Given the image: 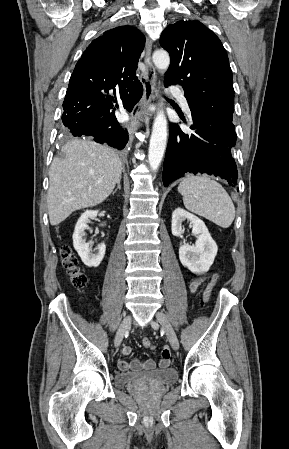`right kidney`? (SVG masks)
<instances>
[{"label":"right kidney","instance_id":"1","mask_svg":"<svg viewBox=\"0 0 289 449\" xmlns=\"http://www.w3.org/2000/svg\"><path fill=\"white\" fill-rule=\"evenodd\" d=\"M97 214L98 211L95 210L85 211L79 217L73 233V246L83 263L88 267H98L104 258L106 250V245L102 243L95 248L98 252L97 254H94L89 247V244L86 243V240L84 239L86 234L85 230L89 229L87 223L90 222V219H95Z\"/></svg>","mask_w":289,"mask_h":449}]
</instances>
